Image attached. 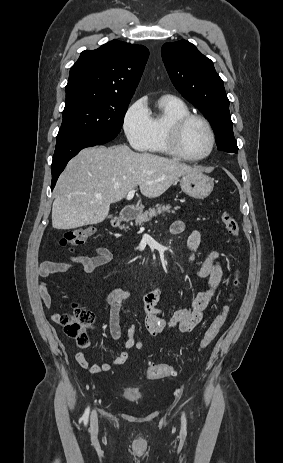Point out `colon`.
Segmentation results:
<instances>
[{
  "label": "colon",
  "instance_id": "colon-1",
  "mask_svg": "<svg viewBox=\"0 0 283 463\" xmlns=\"http://www.w3.org/2000/svg\"><path fill=\"white\" fill-rule=\"evenodd\" d=\"M220 220L231 235L236 238L239 237V224L230 213L226 211L221 212ZM95 232L96 229L92 226L66 231L60 240V244L64 248L73 250L75 247L84 245L94 236ZM239 283L240 272L236 271L233 279L234 289L239 286ZM229 312L230 306L229 304H225L200 339L197 347L199 352L206 349L214 341L225 324ZM94 321L93 312L81 307H75L72 312L64 314L60 318L66 334L73 338L80 346L87 344V331L93 325ZM173 374L174 368L168 363L153 364L145 371V376L149 380H159Z\"/></svg>",
  "mask_w": 283,
  "mask_h": 463
}]
</instances>
